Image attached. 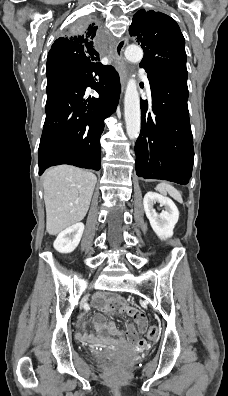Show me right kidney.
<instances>
[{"mask_svg":"<svg viewBox=\"0 0 228 396\" xmlns=\"http://www.w3.org/2000/svg\"><path fill=\"white\" fill-rule=\"evenodd\" d=\"M84 231L83 223H76L65 230H63L54 241V248L60 253L73 252L80 240Z\"/></svg>","mask_w":228,"mask_h":396,"instance_id":"1","label":"right kidney"}]
</instances>
